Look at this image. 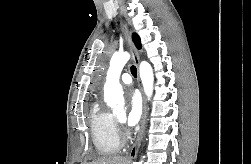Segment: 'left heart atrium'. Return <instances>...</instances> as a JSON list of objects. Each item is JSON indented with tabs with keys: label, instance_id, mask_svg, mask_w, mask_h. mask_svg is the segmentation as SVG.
<instances>
[{
	"label": "left heart atrium",
	"instance_id": "left-heart-atrium-1",
	"mask_svg": "<svg viewBox=\"0 0 251 164\" xmlns=\"http://www.w3.org/2000/svg\"><path fill=\"white\" fill-rule=\"evenodd\" d=\"M129 108L126 117L127 124L134 126L138 123L142 113V100L140 94L132 90L128 94Z\"/></svg>",
	"mask_w": 251,
	"mask_h": 164
}]
</instances>
